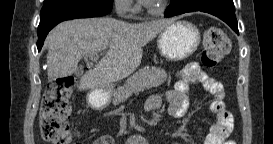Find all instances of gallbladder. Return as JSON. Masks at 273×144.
<instances>
[{
    "label": "gallbladder",
    "mask_w": 273,
    "mask_h": 144,
    "mask_svg": "<svg viewBox=\"0 0 273 144\" xmlns=\"http://www.w3.org/2000/svg\"><path fill=\"white\" fill-rule=\"evenodd\" d=\"M75 70H74V76H82V73L84 72V69L83 68H79L77 65H75L73 67Z\"/></svg>",
    "instance_id": "gallbladder-1"
}]
</instances>
